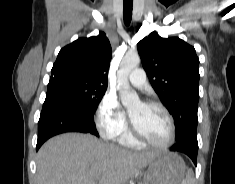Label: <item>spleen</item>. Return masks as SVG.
<instances>
[{
	"instance_id": "3e777b00",
	"label": "spleen",
	"mask_w": 235,
	"mask_h": 184,
	"mask_svg": "<svg viewBox=\"0 0 235 184\" xmlns=\"http://www.w3.org/2000/svg\"><path fill=\"white\" fill-rule=\"evenodd\" d=\"M182 184H195L194 172L193 170H188L185 180Z\"/></svg>"
}]
</instances>
